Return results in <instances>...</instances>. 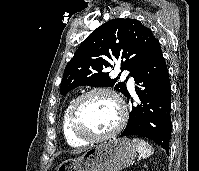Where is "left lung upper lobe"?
<instances>
[{"instance_id": "5c2ea615", "label": "left lung upper lobe", "mask_w": 199, "mask_h": 171, "mask_svg": "<svg viewBox=\"0 0 199 171\" xmlns=\"http://www.w3.org/2000/svg\"><path fill=\"white\" fill-rule=\"evenodd\" d=\"M158 43L152 31L136 19L109 20L81 43L67 64L60 94L65 95L78 86L97 85L114 87L125 95V82L117 83L118 78L111 79L104 70L120 63L121 70H129L134 77Z\"/></svg>"}]
</instances>
